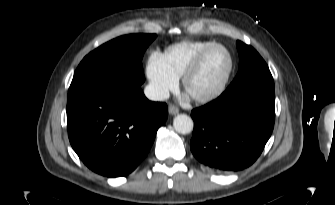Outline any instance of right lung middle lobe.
Returning <instances> with one entry per match:
<instances>
[{
  "mask_svg": "<svg viewBox=\"0 0 335 205\" xmlns=\"http://www.w3.org/2000/svg\"><path fill=\"white\" fill-rule=\"evenodd\" d=\"M155 38L156 34L124 35L90 52L77 67L68 94L91 87H139L145 80L142 57Z\"/></svg>",
  "mask_w": 335,
  "mask_h": 205,
  "instance_id": "obj_1",
  "label": "right lung middle lobe"
}]
</instances>
